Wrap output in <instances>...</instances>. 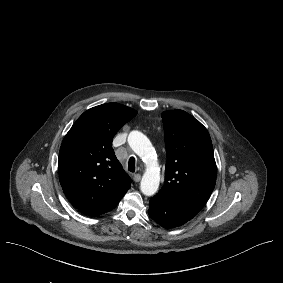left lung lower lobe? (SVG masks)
Returning <instances> with one entry per match:
<instances>
[{"label":"left lung lower lobe","mask_w":283,"mask_h":283,"mask_svg":"<svg viewBox=\"0 0 283 283\" xmlns=\"http://www.w3.org/2000/svg\"><path fill=\"white\" fill-rule=\"evenodd\" d=\"M201 206L156 194L150 199L149 216L165 228H174L191 220Z\"/></svg>","instance_id":"1"}]
</instances>
